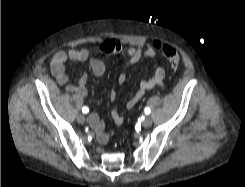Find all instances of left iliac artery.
<instances>
[{
    "instance_id": "1",
    "label": "left iliac artery",
    "mask_w": 245,
    "mask_h": 187,
    "mask_svg": "<svg viewBox=\"0 0 245 187\" xmlns=\"http://www.w3.org/2000/svg\"><path fill=\"white\" fill-rule=\"evenodd\" d=\"M144 112H145V114H150L151 110H150L149 107H146V108L144 109Z\"/></svg>"
}]
</instances>
